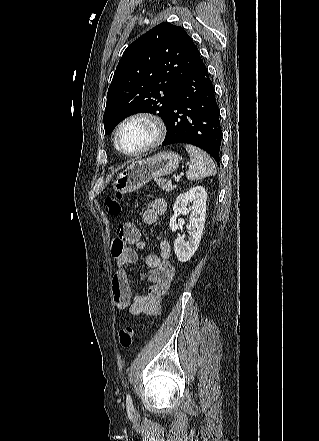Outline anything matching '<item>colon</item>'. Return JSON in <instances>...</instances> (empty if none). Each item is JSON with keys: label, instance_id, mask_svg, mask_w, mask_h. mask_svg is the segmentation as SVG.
Masks as SVG:
<instances>
[{"label": "colon", "instance_id": "1", "mask_svg": "<svg viewBox=\"0 0 319 441\" xmlns=\"http://www.w3.org/2000/svg\"><path fill=\"white\" fill-rule=\"evenodd\" d=\"M121 199L122 196L120 194H115L105 199V204L109 211V214L114 218L119 217L122 213ZM134 338H135L134 327L125 326L120 329L118 334V339L120 345L123 348H130L133 344Z\"/></svg>", "mask_w": 319, "mask_h": 441}]
</instances>
